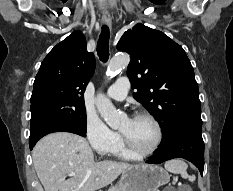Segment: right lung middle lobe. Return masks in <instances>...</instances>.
<instances>
[{"mask_svg":"<svg viewBox=\"0 0 233 191\" xmlns=\"http://www.w3.org/2000/svg\"><path fill=\"white\" fill-rule=\"evenodd\" d=\"M31 131L43 125H66L86 134V111L83 102L56 96L31 100Z\"/></svg>","mask_w":233,"mask_h":191,"instance_id":"1","label":"right lung middle lobe"}]
</instances>
